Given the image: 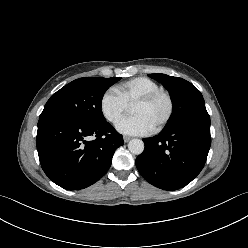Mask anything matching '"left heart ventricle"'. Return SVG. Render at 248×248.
<instances>
[{
    "label": "left heart ventricle",
    "mask_w": 248,
    "mask_h": 248,
    "mask_svg": "<svg viewBox=\"0 0 248 248\" xmlns=\"http://www.w3.org/2000/svg\"><path fill=\"white\" fill-rule=\"evenodd\" d=\"M167 110L168 103L164 97H160L150 104H138L132 107V113L144 117L153 128L163 120Z\"/></svg>",
    "instance_id": "1"
}]
</instances>
